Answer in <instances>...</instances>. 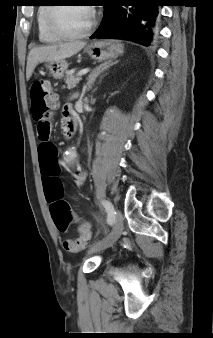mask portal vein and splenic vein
Masks as SVG:
<instances>
[{"mask_svg":"<svg viewBox=\"0 0 213 338\" xmlns=\"http://www.w3.org/2000/svg\"><path fill=\"white\" fill-rule=\"evenodd\" d=\"M90 71L89 68L82 69L78 72V76H82L84 74H87Z\"/></svg>","mask_w":213,"mask_h":338,"instance_id":"portal-vein-and-splenic-vein-1","label":"portal vein and splenic vein"}]
</instances>
